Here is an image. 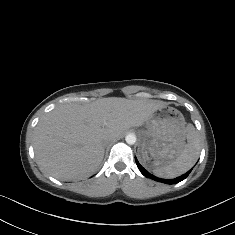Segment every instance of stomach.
<instances>
[{
  "mask_svg": "<svg viewBox=\"0 0 235 235\" xmlns=\"http://www.w3.org/2000/svg\"><path fill=\"white\" fill-rule=\"evenodd\" d=\"M138 134L140 160L148 169H154L175 160L183 152L186 121L179 110L165 106L151 114L146 129H140Z\"/></svg>",
  "mask_w": 235,
  "mask_h": 235,
  "instance_id": "1",
  "label": "stomach"
}]
</instances>
